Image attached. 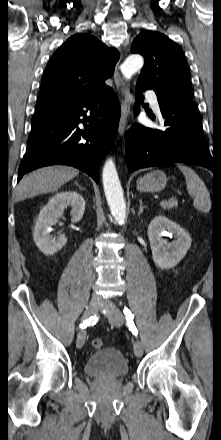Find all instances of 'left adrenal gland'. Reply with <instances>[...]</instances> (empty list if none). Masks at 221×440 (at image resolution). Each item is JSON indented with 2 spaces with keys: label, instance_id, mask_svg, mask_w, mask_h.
Here are the masks:
<instances>
[{
  "label": "left adrenal gland",
  "instance_id": "a2214340",
  "mask_svg": "<svg viewBox=\"0 0 221 440\" xmlns=\"http://www.w3.org/2000/svg\"><path fill=\"white\" fill-rule=\"evenodd\" d=\"M139 203L140 206H139L138 216H140L143 213L144 208H146V206H143L142 199L139 200Z\"/></svg>",
  "mask_w": 221,
  "mask_h": 440
}]
</instances>
